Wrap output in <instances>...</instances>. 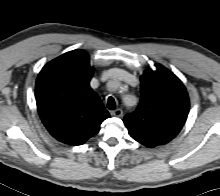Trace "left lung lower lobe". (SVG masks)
Masks as SVG:
<instances>
[{"instance_id":"1","label":"left lung lower lobe","mask_w":220,"mask_h":196,"mask_svg":"<svg viewBox=\"0 0 220 196\" xmlns=\"http://www.w3.org/2000/svg\"><path fill=\"white\" fill-rule=\"evenodd\" d=\"M131 136V135H130ZM132 138H134L136 141L138 140L136 137H134V136H131Z\"/></svg>"}]
</instances>
